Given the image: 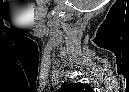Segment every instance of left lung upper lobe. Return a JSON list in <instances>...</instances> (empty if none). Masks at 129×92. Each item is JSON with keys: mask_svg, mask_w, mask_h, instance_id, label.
I'll list each match as a JSON object with an SVG mask.
<instances>
[{"mask_svg": "<svg viewBox=\"0 0 129 92\" xmlns=\"http://www.w3.org/2000/svg\"><path fill=\"white\" fill-rule=\"evenodd\" d=\"M93 90L82 84V83H74V84H67L64 85L59 92H92Z\"/></svg>", "mask_w": 129, "mask_h": 92, "instance_id": "obj_1", "label": "left lung upper lobe"}]
</instances>
